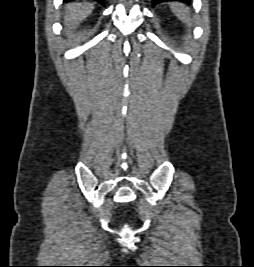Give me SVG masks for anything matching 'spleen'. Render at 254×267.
<instances>
[{
  "label": "spleen",
  "mask_w": 254,
  "mask_h": 267,
  "mask_svg": "<svg viewBox=\"0 0 254 267\" xmlns=\"http://www.w3.org/2000/svg\"><path fill=\"white\" fill-rule=\"evenodd\" d=\"M171 9L173 13L183 22L186 24L190 23V10L183 4L180 3H173L171 5Z\"/></svg>",
  "instance_id": "spleen-1"
}]
</instances>
